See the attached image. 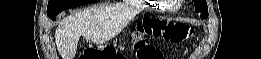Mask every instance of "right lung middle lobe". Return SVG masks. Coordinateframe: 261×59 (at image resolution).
Returning <instances> with one entry per match:
<instances>
[{
  "label": "right lung middle lobe",
  "instance_id": "right-lung-middle-lobe-1",
  "mask_svg": "<svg viewBox=\"0 0 261 59\" xmlns=\"http://www.w3.org/2000/svg\"><path fill=\"white\" fill-rule=\"evenodd\" d=\"M99 0H49L47 7L48 17H54L64 9H69L89 3H96Z\"/></svg>",
  "mask_w": 261,
  "mask_h": 59
}]
</instances>
